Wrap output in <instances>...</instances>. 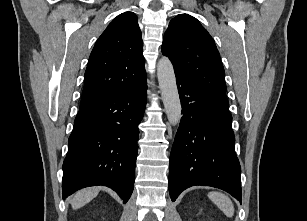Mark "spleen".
<instances>
[{"label": "spleen", "instance_id": "obj_1", "mask_svg": "<svg viewBox=\"0 0 307 221\" xmlns=\"http://www.w3.org/2000/svg\"><path fill=\"white\" fill-rule=\"evenodd\" d=\"M208 197L227 217L231 218L234 215V205L225 194L209 192Z\"/></svg>", "mask_w": 307, "mask_h": 221}]
</instances>
